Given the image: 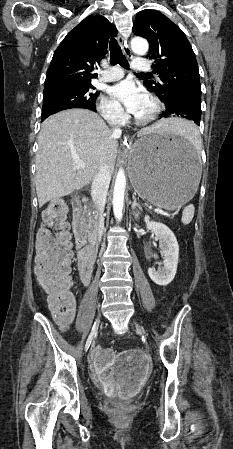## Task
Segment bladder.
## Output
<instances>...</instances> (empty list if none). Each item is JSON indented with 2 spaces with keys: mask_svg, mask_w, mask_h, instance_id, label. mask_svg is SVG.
I'll return each mask as SVG.
<instances>
[{
  "mask_svg": "<svg viewBox=\"0 0 233 449\" xmlns=\"http://www.w3.org/2000/svg\"><path fill=\"white\" fill-rule=\"evenodd\" d=\"M130 403V400H119L117 402L118 406H125L128 405Z\"/></svg>",
  "mask_w": 233,
  "mask_h": 449,
  "instance_id": "1",
  "label": "bladder"
}]
</instances>
